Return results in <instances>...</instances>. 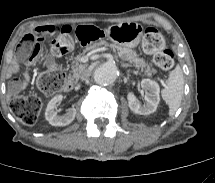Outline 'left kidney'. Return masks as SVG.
Returning <instances> with one entry per match:
<instances>
[{
	"instance_id": "left-kidney-1",
	"label": "left kidney",
	"mask_w": 215,
	"mask_h": 183,
	"mask_svg": "<svg viewBox=\"0 0 215 183\" xmlns=\"http://www.w3.org/2000/svg\"><path fill=\"white\" fill-rule=\"evenodd\" d=\"M141 87L146 91L145 93V105H141L137 100L133 92L127 94L129 108L140 115H149L156 111L160 101V88L159 85L150 79H143L141 81Z\"/></svg>"
}]
</instances>
